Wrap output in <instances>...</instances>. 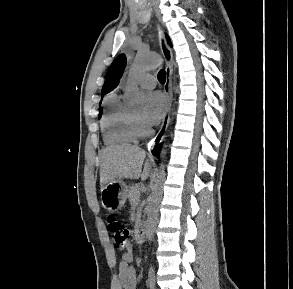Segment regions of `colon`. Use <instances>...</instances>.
Returning <instances> with one entry per match:
<instances>
[{
  "instance_id": "colon-1",
  "label": "colon",
  "mask_w": 293,
  "mask_h": 289,
  "mask_svg": "<svg viewBox=\"0 0 293 289\" xmlns=\"http://www.w3.org/2000/svg\"><path fill=\"white\" fill-rule=\"evenodd\" d=\"M107 226L115 242L123 248L127 247L129 244V230L125 223L114 216H109Z\"/></svg>"
}]
</instances>
